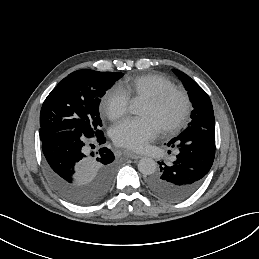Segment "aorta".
Returning a JSON list of instances; mask_svg holds the SVG:
<instances>
[{
  "label": "aorta",
  "mask_w": 259,
  "mask_h": 259,
  "mask_svg": "<svg viewBox=\"0 0 259 259\" xmlns=\"http://www.w3.org/2000/svg\"><path fill=\"white\" fill-rule=\"evenodd\" d=\"M139 111H140V107L138 103L134 102L130 105V112L132 114H138ZM156 169H157V164L152 158L144 157L140 159L138 162V170L143 175H151L156 171Z\"/></svg>",
  "instance_id": "obj_1"
}]
</instances>
